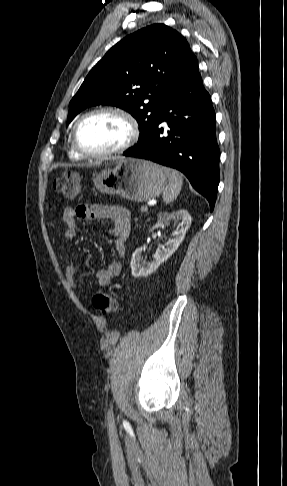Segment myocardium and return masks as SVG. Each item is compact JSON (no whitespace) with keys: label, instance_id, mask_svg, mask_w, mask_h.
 <instances>
[{"label":"myocardium","instance_id":"f54148a6","mask_svg":"<svg viewBox=\"0 0 287 486\" xmlns=\"http://www.w3.org/2000/svg\"><path fill=\"white\" fill-rule=\"evenodd\" d=\"M103 113L115 114V115L119 116L120 118H122L125 121V123L128 127V136H127L126 140L120 146L113 148L111 150L104 151V152L87 151L86 149H84L81 146V144L79 142L78 133H79L80 126L88 118H90L94 115L103 114ZM139 133H140L139 125H138L136 119L133 117V115L131 113H129L125 109H122V108H119V107L104 106V107H99V108L93 109V110L85 113L84 115H82L77 120V122L75 123V125L73 127V131H72V145H73V148L75 149V151L83 157L92 158V159H103V158H108V157H111V156H114V155H117V154H121V153L125 152L126 150H128L129 148H131L136 143V141L138 140Z\"/></svg>","mask_w":287,"mask_h":486}]
</instances>
